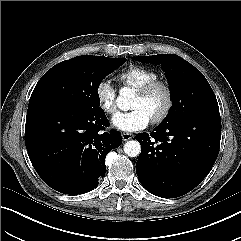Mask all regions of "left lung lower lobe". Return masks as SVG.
Segmentation results:
<instances>
[{"instance_id": "0a47b994", "label": "left lung lower lobe", "mask_w": 241, "mask_h": 241, "mask_svg": "<svg viewBox=\"0 0 241 241\" xmlns=\"http://www.w3.org/2000/svg\"><path fill=\"white\" fill-rule=\"evenodd\" d=\"M220 116L191 115L138 133L136 173L142 186L162 198L182 196L210 172L219 152Z\"/></svg>"}]
</instances>
